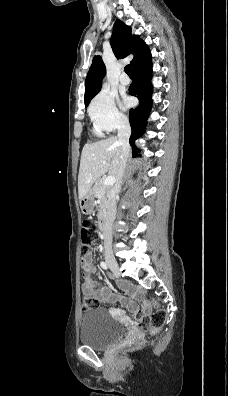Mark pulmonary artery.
I'll list each match as a JSON object with an SVG mask.
<instances>
[{
	"label": "pulmonary artery",
	"instance_id": "obj_1",
	"mask_svg": "<svg viewBox=\"0 0 228 396\" xmlns=\"http://www.w3.org/2000/svg\"><path fill=\"white\" fill-rule=\"evenodd\" d=\"M119 81L123 85H127L130 82V80H129V78H128V76L126 74H121L120 77H119Z\"/></svg>",
	"mask_w": 228,
	"mask_h": 396
}]
</instances>
